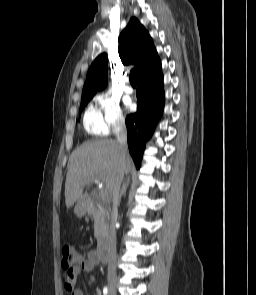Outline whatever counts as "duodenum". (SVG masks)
Masks as SVG:
<instances>
[{
	"mask_svg": "<svg viewBox=\"0 0 256 295\" xmlns=\"http://www.w3.org/2000/svg\"><path fill=\"white\" fill-rule=\"evenodd\" d=\"M82 207L85 211H88L90 209V203L88 201H83L81 203ZM109 248L106 243L101 242L97 249V256L100 262L107 263L109 260Z\"/></svg>",
	"mask_w": 256,
	"mask_h": 295,
	"instance_id": "1",
	"label": "duodenum"
}]
</instances>
